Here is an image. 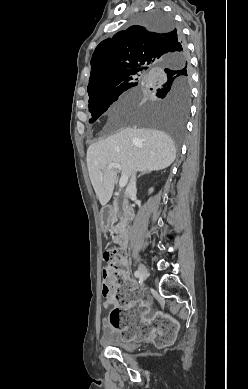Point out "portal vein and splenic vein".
<instances>
[{
	"mask_svg": "<svg viewBox=\"0 0 248 389\" xmlns=\"http://www.w3.org/2000/svg\"><path fill=\"white\" fill-rule=\"evenodd\" d=\"M108 168H116V169H119L121 170V166L119 163H110L108 165ZM128 181V175L127 174H123L119 180V187L122 188L126 185Z\"/></svg>",
	"mask_w": 248,
	"mask_h": 389,
	"instance_id": "portal-vein-and-splenic-vein-1",
	"label": "portal vein and splenic vein"
}]
</instances>
